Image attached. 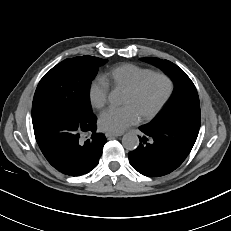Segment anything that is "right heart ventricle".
<instances>
[{
    "mask_svg": "<svg viewBox=\"0 0 231 231\" xmlns=\"http://www.w3.org/2000/svg\"><path fill=\"white\" fill-rule=\"evenodd\" d=\"M151 72L153 70L146 67L135 64H122L111 69L104 79L115 88L127 90Z\"/></svg>",
    "mask_w": 231,
    "mask_h": 231,
    "instance_id": "right-heart-ventricle-1",
    "label": "right heart ventricle"
}]
</instances>
